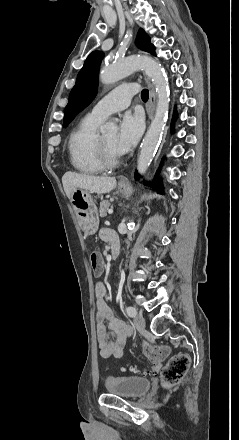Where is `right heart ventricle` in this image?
Wrapping results in <instances>:
<instances>
[{
  "mask_svg": "<svg viewBox=\"0 0 239 440\" xmlns=\"http://www.w3.org/2000/svg\"><path fill=\"white\" fill-rule=\"evenodd\" d=\"M99 121L85 116L68 138V155L71 166L84 174H98L104 170L95 149L96 126Z\"/></svg>",
  "mask_w": 239,
  "mask_h": 440,
  "instance_id": "e07e8e85",
  "label": "right heart ventricle"
}]
</instances>
